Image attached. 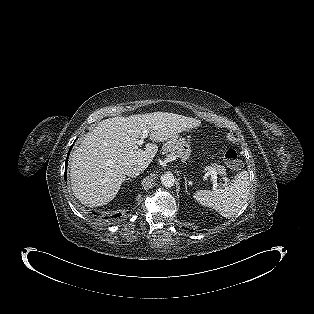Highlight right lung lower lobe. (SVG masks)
Segmentation results:
<instances>
[{
	"mask_svg": "<svg viewBox=\"0 0 314 314\" xmlns=\"http://www.w3.org/2000/svg\"><path fill=\"white\" fill-rule=\"evenodd\" d=\"M71 148H72V146H71ZM71 148H70V150H69V152H68V155H67V158H66L65 170H67L68 156H69V153H70V151H71ZM64 178H65V180H66V171H65V177H64ZM119 216H121V214H116V215H114V216H111L110 218L114 219V218H117V217H119ZM106 219H109V218L107 217Z\"/></svg>",
	"mask_w": 314,
	"mask_h": 314,
	"instance_id": "98d812e1",
	"label": "right lung lower lobe"
}]
</instances>
